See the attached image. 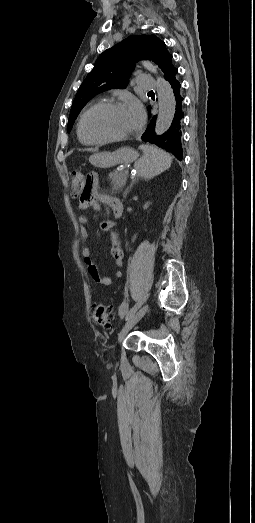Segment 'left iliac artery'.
<instances>
[{
	"mask_svg": "<svg viewBox=\"0 0 255 523\" xmlns=\"http://www.w3.org/2000/svg\"><path fill=\"white\" fill-rule=\"evenodd\" d=\"M148 295L140 302H138L137 304H135L130 310L129 312L127 313L126 315V320H129L134 314L135 312L138 310V308L143 304L144 301H146Z\"/></svg>",
	"mask_w": 255,
	"mask_h": 523,
	"instance_id": "left-iliac-artery-1",
	"label": "left iliac artery"
}]
</instances>
